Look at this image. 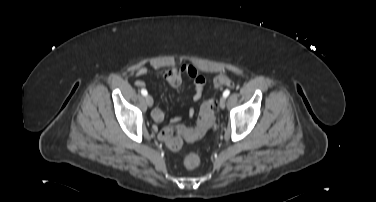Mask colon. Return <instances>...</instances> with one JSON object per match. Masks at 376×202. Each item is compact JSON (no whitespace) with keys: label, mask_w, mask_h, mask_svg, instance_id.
<instances>
[{"label":"colon","mask_w":376,"mask_h":202,"mask_svg":"<svg viewBox=\"0 0 376 202\" xmlns=\"http://www.w3.org/2000/svg\"><path fill=\"white\" fill-rule=\"evenodd\" d=\"M231 83V78L226 74L218 75L214 79V86L217 88L228 86ZM215 109V101L212 99L206 100L200 108L197 125L194 130L189 131L182 126L164 127L159 133L161 140H163L171 150L180 149L185 137H200L213 126ZM182 164L187 169H194L200 165V158L195 153H188L182 158Z\"/></svg>","instance_id":"5ec220e1"}]
</instances>
